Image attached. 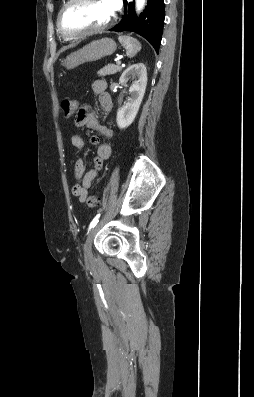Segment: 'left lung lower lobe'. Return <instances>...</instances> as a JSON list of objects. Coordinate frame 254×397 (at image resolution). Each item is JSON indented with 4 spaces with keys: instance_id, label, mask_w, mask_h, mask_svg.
Listing matches in <instances>:
<instances>
[{
    "instance_id": "1",
    "label": "left lung lower lobe",
    "mask_w": 254,
    "mask_h": 397,
    "mask_svg": "<svg viewBox=\"0 0 254 397\" xmlns=\"http://www.w3.org/2000/svg\"><path fill=\"white\" fill-rule=\"evenodd\" d=\"M124 1L125 13L118 25L110 31H132L147 39L159 52L164 25V0H148V5L137 18L134 3Z\"/></svg>"
}]
</instances>
